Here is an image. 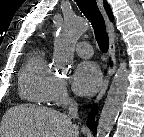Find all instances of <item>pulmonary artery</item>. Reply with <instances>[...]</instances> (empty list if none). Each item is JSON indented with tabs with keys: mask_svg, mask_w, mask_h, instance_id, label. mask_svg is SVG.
<instances>
[{
	"mask_svg": "<svg viewBox=\"0 0 144 137\" xmlns=\"http://www.w3.org/2000/svg\"><path fill=\"white\" fill-rule=\"evenodd\" d=\"M76 53L82 58H90L93 55L92 46L88 42H79L75 46Z\"/></svg>",
	"mask_w": 144,
	"mask_h": 137,
	"instance_id": "obj_1",
	"label": "pulmonary artery"
}]
</instances>
